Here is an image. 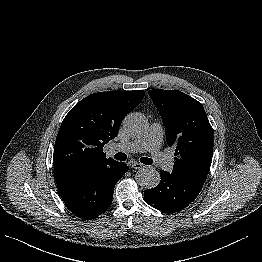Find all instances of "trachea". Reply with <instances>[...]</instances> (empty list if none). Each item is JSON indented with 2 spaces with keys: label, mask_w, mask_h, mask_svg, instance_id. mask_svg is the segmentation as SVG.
Returning a JSON list of instances; mask_svg holds the SVG:
<instances>
[{
  "label": "trachea",
  "mask_w": 262,
  "mask_h": 262,
  "mask_svg": "<svg viewBox=\"0 0 262 262\" xmlns=\"http://www.w3.org/2000/svg\"><path fill=\"white\" fill-rule=\"evenodd\" d=\"M114 158L117 159V160H120V161H125L127 159V155L122 153V152H119V153L115 154ZM140 161L143 164H146V165L153 164V160L151 158H147V157H141Z\"/></svg>",
  "instance_id": "obj_1"
}]
</instances>
